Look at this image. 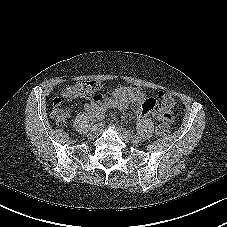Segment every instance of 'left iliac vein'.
Listing matches in <instances>:
<instances>
[{"label":"left iliac vein","instance_id":"4c4485c4","mask_svg":"<svg viewBox=\"0 0 227 227\" xmlns=\"http://www.w3.org/2000/svg\"><path fill=\"white\" fill-rule=\"evenodd\" d=\"M120 137L126 142V143H133L137 144L139 143V140L136 139V136L132 135L129 131L121 128L119 130Z\"/></svg>","mask_w":227,"mask_h":227}]
</instances>
